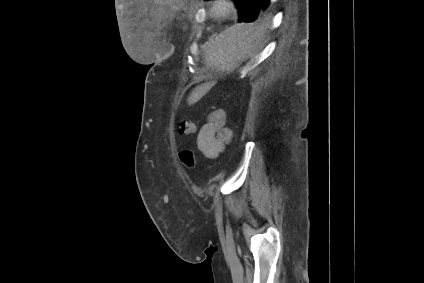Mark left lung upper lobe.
Wrapping results in <instances>:
<instances>
[{
    "instance_id": "obj_1",
    "label": "left lung upper lobe",
    "mask_w": 424,
    "mask_h": 283,
    "mask_svg": "<svg viewBox=\"0 0 424 283\" xmlns=\"http://www.w3.org/2000/svg\"><path fill=\"white\" fill-rule=\"evenodd\" d=\"M238 8L239 22H253L257 18H263L266 13L260 11L265 0H233Z\"/></svg>"
}]
</instances>
